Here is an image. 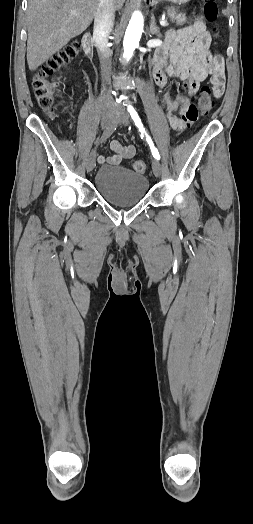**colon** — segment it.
Instances as JSON below:
<instances>
[{"mask_svg": "<svg viewBox=\"0 0 253 524\" xmlns=\"http://www.w3.org/2000/svg\"><path fill=\"white\" fill-rule=\"evenodd\" d=\"M202 1L204 18L210 23H215L218 18V9L215 0ZM78 50V42L71 43L42 65L33 77L32 88L37 101L40 107L50 116L54 115V103L57 92V85L53 81V76L66 61L77 55ZM210 105L211 90L209 88H202L199 93L198 108L201 111H207ZM146 168L147 166L144 161H136L134 163V169L139 173L145 172Z\"/></svg>", "mask_w": 253, "mask_h": 524, "instance_id": "1", "label": "colon"}]
</instances>
